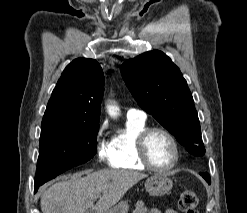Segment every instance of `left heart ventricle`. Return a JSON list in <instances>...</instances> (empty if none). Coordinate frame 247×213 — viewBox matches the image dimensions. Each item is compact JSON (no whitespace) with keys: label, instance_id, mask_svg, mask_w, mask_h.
I'll use <instances>...</instances> for the list:
<instances>
[{"label":"left heart ventricle","instance_id":"left-heart-ventricle-1","mask_svg":"<svg viewBox=\"0 0 247 213\" xmlns=\"http://www.w3.org/2000/svg\"><path fill=\"white\" fill-rule=\"evenodd\" d=\"M146 150L150 161L157 167H166L173 161L174 150L172 143L161 132H154L148 137Z\"/></svg>","mask_w":247,"mask_h":213}]
</instances>
